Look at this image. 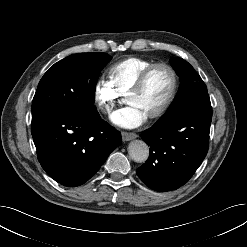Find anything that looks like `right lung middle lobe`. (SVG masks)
I'll return each instance as SVG.
<instances>
[{
	"label": "right lung middle lobe",
	"instance_id": "right-lung-middle-lobe-1",
	"mask_svg": "<svg viewBox=\"0 0 247 247\" xmlns=\"http://www.w3.org/2000/svg\"><path fill=\"white\" fill-rule=\"evenodd\" d=\"M109 59L106 53H77L55 63L38 84L32 116L57 107H68L88 116L96 114V82Z\"/></svg>",
	"mask_w": 247,
	"mask_h": 247
}]
</instances>
